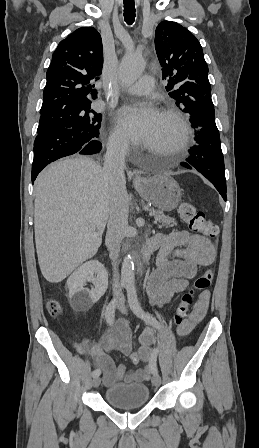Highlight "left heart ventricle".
I'll use <instances>...</instances> for the list:
<instances>
[{"label":"left heart ventricle","instance_id":"b2bd125f","mask_svg":"<svg viewBox=\"0 0 259 448\" xmlns=\"http://www.w3.org/2000/svg\"><path fill=\"white\" fill-rule=\"evenodd\" d=\"M178 125L171 117L159 116L156 123L144 135L141 141L145 142L151 149L163 152L177 138Z\"/></svg>","mask_w":259,"mask_h":448}]
</instances>
